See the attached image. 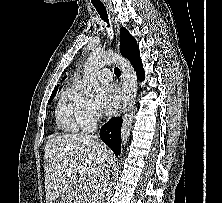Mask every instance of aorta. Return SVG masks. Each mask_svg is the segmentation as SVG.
<instances>
[{
	"label": "aorta",
	"mask_w": 222,
	"mask_h": 203,
	"mask_svg": "<svg viewBox=\"0 0 222 203\" xmlns=\"http://www.w3.org/2000/svg\"><path fill=\"white\" fill-rule=\"evenodd\" d=\"M116 63L123 76V123L121 129L122 147L125 146L130 136L132 127L133 107L135 105L137 95V76L131 63L113 53L93 52L84 66L83 78L76 83V89L86 96L91 95L92 86L96 79L98 71L105 65Z\"/></svg>",
	"instance_id": "762f6f07"
}]
</instances>
